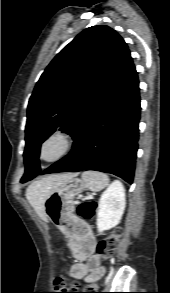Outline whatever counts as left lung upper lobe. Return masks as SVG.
I'll use <instances>...</instances> for the list:
<instances>
[{"label":"left lung upper lobe","mask_w":170,"mask_h":293,"mask_svg":"<svg viewBox=\"0 0 170 293\" xmlns=\"http://www.w3.org/2000/svg\"><path fill=\"white\" fill-rule=\"evenodd\" d=\"M130 58L122 37L105 25L85 29L56 55L29 100L21 183L42 171L41 143L57 129L74 138Z\"/></svg>","instance_id":"1"}]
</instances>
